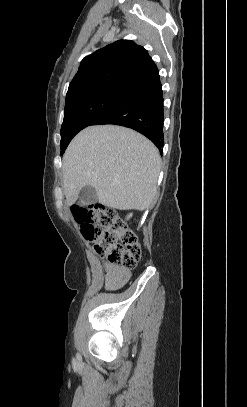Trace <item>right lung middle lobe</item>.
I'll use <instances>...</instances> for the list:
<instances>
[{"instance_id": "dd1d6c3e", "label": "right lung middle lobe", "mask_w": 247, "mask_h": 407, "mask_svg": "<svg viewBox=\"0 0 247 407\" xmlns=\"http://www.w3.org/2000/svg\"><path fill=\"white\" fill-rule=\"evenodd\" d=\"M134 92V89L128 87H109L66 104L61 127V155L79 131L93 125L97 119Z\"/></svg>"}]
</instances>
